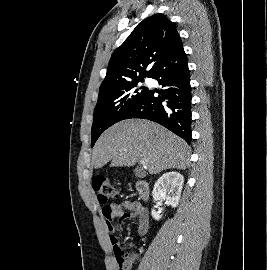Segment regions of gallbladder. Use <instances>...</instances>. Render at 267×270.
Returning <instances> with one entry per match:
<instances>
[{
	"mask_svg": "<svg viewBox=\"0 0 267 270\" xmlns=\"http://www.w3.org/2000/svg\"><path fill=\"white\" fill-rule=\"evenodd\" d=\"M134 174L136 177H139V178H143L146 176V172L139 170V169H135Z\"/></svg>",
	"mask_w": 267,
	"mask_h": 270,
	"instance_id": "obj_1",
	"label": "gallbladder"
}]
</instances>
